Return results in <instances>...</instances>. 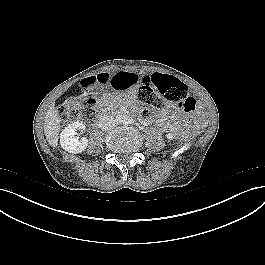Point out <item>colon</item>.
<instances>
[{"label":"colon","instance_id":"colon-1","mask_svg":"<svg viewBox=\"0 0 265 265\" xmlns=\"http://www.w3.org/2000/svg\"><path fill=\"white\" fill-rule=\"evenodd\" d=\"M149 82L153 88L150 85H144L137 91V99L140 103L138 110L143 118L153 119L154 110L161 108L165 101L177 104L186 112L195 110L196 97L188 91L187 86L181 80L164 75L160 71H153L149 75ZM96 103L94 98L88 97L82 100L77 107H72L71 101L68 100L58 105L56 111L62 120L70 118L90 121L96 114Z\"/></svg>","mask_w":265,"mask_h":265}]
</instances>
